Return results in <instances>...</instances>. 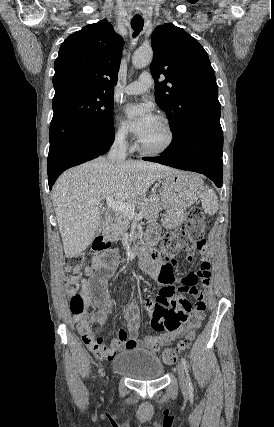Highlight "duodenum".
Returning a JSON list of instances; mask_svg holds the SVG:
<instances>
[{"mask_svg":"<svg viewBox=\"0 0 274 427\" xmlns=\"http://www.w3.org/2000/svg\"><path fill=\"white\" fill-rule=\"evenodd\" d=\"M109 222H110V219L107 218L104 222V228L108 226ZM95 245L96 246L104 245V229L96 238ZM131 252L135 255H139L140 257H142L143 265H149L157 259V251L153 248L151 242H148L147 244H143L140 246H134L131 249Z\"/></svg>","mask_w":274,"mask_h":427,"instance_id":"duodenum-1","label":"duodenum"}]
</instances>
